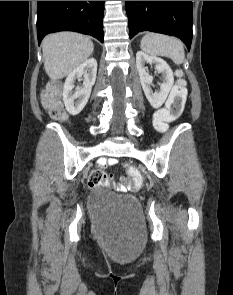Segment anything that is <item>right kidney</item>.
Here are the masks:
<instances>
[{
	"instance_id": "1",
	"label": "right kidney",
	"mask_w": 233,
	"mask_h": 295,
	"mask_svg": "<svg viewBox=\"0 0 233 295\" xmlns=\"http://www.w3.org/2000/svg\"><path fill=\"white\" fill-rule=\"evenodd\" d=\"M97 62L90 58L75 68L66 78L63 86V102L66 110L73 116L79 114L88 102L92 86L95 84ZM84 76L83 88L72 94L75 80Z\"/></svg>"
}]
</instances>
